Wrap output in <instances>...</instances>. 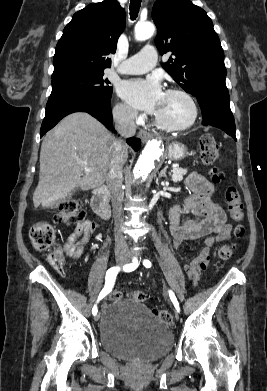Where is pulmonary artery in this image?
Returning a JSON list of instances; mask_svg holds the SVG:
<instances>
[{
    "mask_svg": "<svg viewBox=\"0 0 267 391\" xmlns=\"http://www.w3.org/2000/svg\"><path fill=\"white\" fill-rule=\"evenodd\" d=\"M157 62V50L154 46L146 45L141 51L128 58L118 67L122 74H141L152 69Z\"/></svg>",
    "mask_w": 267,
    "mask_h": 391,
    "instance_id": "e3ab8cb5",
    "label": "pulmonary artery"
}]
</instances>
